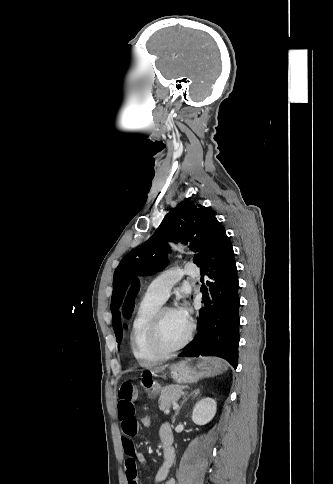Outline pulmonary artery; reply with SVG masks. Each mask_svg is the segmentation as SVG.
I'll use <instances>...</instances> for the list:
<instances>
[{
	"label": "pulmonary artery",
	"mask_w": 333,
	"mask_h": 484,
	"mask_svg": "<svg viewBox=\"0 0 333 484\" xmlns=\"http://www.w3.org/2000/svg\"><path fill=\"white\" fill-rule=\"evenodd\" d=\"M198 274L197 268L188 263L182 267L172 268L158 275L148 286L146 295L164 302L173 286L183 277H194Z\"/></svg>",
	"instance_id": "pulmonary-artery-1"
}]
</instances>
